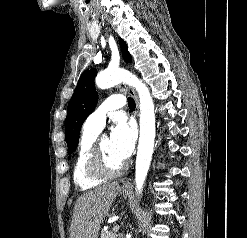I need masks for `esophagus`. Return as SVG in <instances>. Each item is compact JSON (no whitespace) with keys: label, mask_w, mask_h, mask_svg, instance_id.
I'll use <instances>...</instances> for the list:
<instances>
[{"label":"esophagus","mask_w":247,"mask_h":238,"mask_svg":"<svg viewBox=\"0 0 247 238\" xmlns=\"http://www.w3.org/2000/svg\"><path fill=\"white\" fill-rule=\"evenodd\" d=\"M127 90L130 93V95H132V97L134 98V100L136 102L137 109H138L139 108V100H138V96H137L136 92L131 87H127ZM123 187L125 189H130L132 187L131 182H130L129 179H127V180L124 181Z\"/></svg>","instance_id":"1"}]
</instances>
